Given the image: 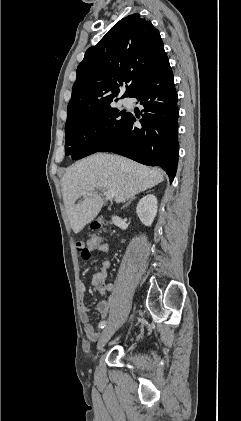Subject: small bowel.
Returning <instances> with one entry per match:
<instances>
[{
	"label": "small bowel",
	"instance_id": "c3829d8e",
	"mask_svg": "<svg viewBox=\"0 0 241 421\" xmlns=\"http://www.w3.org/2000/svg\"><path fill=\"white\" fill-rule=\"evenodd\" d=\"M96 248H98L99 250L105 253L109 252V247L107 244H99ZM110 266H111V260L110 258H106L99 267L97 266L94 267L95 273L92 279V285L94 289H96L101 294L106 296V298L99 301L96 306V311L99 312L103 318H105L109 314V311H110L109 296L114 291V286L112 284L106 283L107 274H108V270ZM78 291H79L80 301L82 302L83 297L86 292V286L83 282L79 283ZM81 309H82V321L84 323V331L89 340L95 341L98 338L99 333L96 332L95 328L90 323L89 312L91 311V309L85 307L84 305H82Z\"/></svg>",
	"mask_w": 241,
	"mask_h": 421
}]
</instances>
